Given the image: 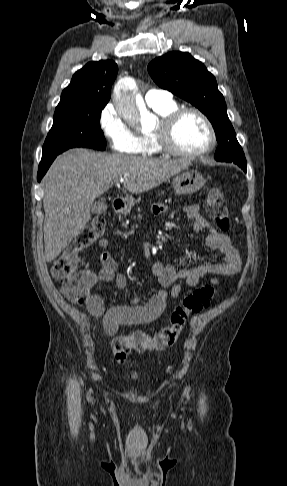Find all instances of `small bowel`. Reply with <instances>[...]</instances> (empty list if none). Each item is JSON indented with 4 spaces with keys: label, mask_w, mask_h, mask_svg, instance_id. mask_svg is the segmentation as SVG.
<instances>
[{
    "label": "small bowel",
    "mask_w": 287,
    "mask_h": 486,
    "mask_svg": "<svg viewBox=\"0 0 287 486\" xmlns=\"http://www.w3.org/2000/svg\"><path fill=\"white\" fill-rule=\"evenodd\" d=\"M184 211L187 218L193 221V229L196 232H207L206 244L219 253L221 261L207 262L193 268H176L170 264L155 262L152 272L157 277L158 290L147 302L142 303L139 298H133L126 305L105 310L103 286L114 282L117 287L124 288L127 277L107 250L109 241L101 239L99 247L103 250L100 255L102 266L94 276V284L98 290L90 295L86 308L93 317L102 318L107 335L114 336L121 326L143 325L157 320L166 308L167 298L179 297L182 284L190 287L197 286L205 275H213L212 283L217 284L218 277L231 276L239 272L241 257L232 245L230 237L213 230L209 222L200 214L197 205L186 206ZM152 212L156 216H164L167 207L158 203L153 205Z\"/></svg>",
    "instance_id": "obj_1"
}]
</instances>
